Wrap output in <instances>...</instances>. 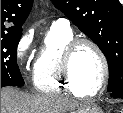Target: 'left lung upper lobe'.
Masks as SVG:
<instances>
[{"instance_id": "left-lung-upper-lobe-1", "label": "left lung upper lobe", "mask_w": 123, "mask_h": 113, "mask_svg": "<svg viewBox=\"0 0 123 113\" xmlns=\"http://www.w3.org/2000/svg\"><path fill=\"white\" fill-rule=\"evenodd\" d=\"M92 39L109 65L108 91L123 99V7L119 0H52Z\"/></svg>"}]
</instances>
